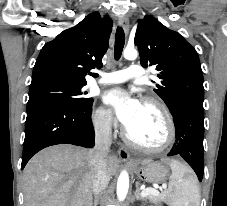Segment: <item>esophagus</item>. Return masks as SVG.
<instances>
[{
	"instance_id": "obj_1",
	"label": "esophagus",
	"mask_w": 227,
	"mask_h": 206,
	"mask_svg": "<svg viewBox=\"0 0 227 206\" xmlns=\"http://www.w3.org/2000/svg\"><path fill=\"white\" fill-rule=\"evenodd\" d=\"M119 24L124 29L125 33L127 34L129 31L128 18L127 17L120 18ZM118 155L123 161H128L130 159V155H129L128 151L122 145H119Z\"/></svg>"
}]
</instances>
